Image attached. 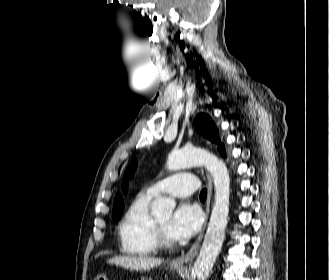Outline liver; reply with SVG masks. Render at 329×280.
<instances>
[{"label":"liver","mask_w":329,"mask_h":280,"mask_svg":"<svg viewBox=\"0 0 329 280\" xmlns=\"http://www.w3.org/2000/svg\"><path fill=\"white\" fill-rule=\"evenodd\" d=\"M107 263L125 269L147 271L161 265L162 260L148 256H115L108 259Z\"/></svg>","instance_id":"liver-1"}]
</instances>
